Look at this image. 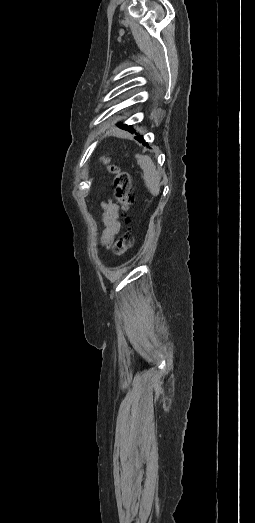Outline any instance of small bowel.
Wrapping results in <instances>:
<instances>
[{
	"instance_id": "obj_1",
	"label": "small bowel",
	"mask_w": 255,
	"mask_h": 523,
	"mask_svg": "<svg viewBox=\"0 0 255 523\" xmlns=\"http://www.w3.org/2000/svg\"><path fill=\"white\" fill-rule=\"evenodd\" d=\"M101 206L103 209L101 222L104 225L102 242L105 245H109L120 229L118 222L119 207L111 201L103 202Z\"/></svg>"
}]
</instances>
